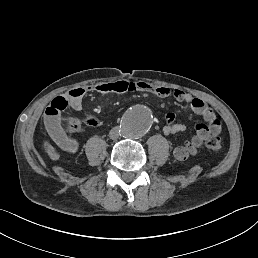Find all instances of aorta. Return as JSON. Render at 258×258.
<instances>
[{
    "instance_id": "obj_1",
    "label": "aorta",
    "mask_w": 258,
    "mask_h": 258,
    "mask_svg": "<svg viewBox=\"0 0 258 258\" xmlns=\"http://www.w3.org/2000/svg\"><path fill=\"white\" fill-rule=\"evenodd\" d=\"M152 123L153 116L150 109L136 105L123 115L120 130L125 138L138 139L150 129Z\"/></svg>"
}]
</instances>
